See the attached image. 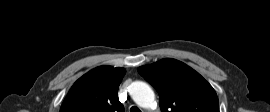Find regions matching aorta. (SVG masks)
<instances>
[{
    "label": "aorta",
    "mask_w": 270,
    "mask_h": 112,
    "mask_svg": "<svg viewBox=\"0 0 270 112\" xmlns=\"http://www.w3.org/2000/svg\"><path fill=\"white\" fill-rule=\"evenodd\" d=\"M130 94L134 102L142 108H150L154 104V91L144 82L137 81L132 83Z\"/></svg>",
    "instance_id": "762f6f07"
}]
</instances>
